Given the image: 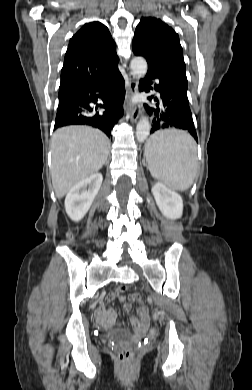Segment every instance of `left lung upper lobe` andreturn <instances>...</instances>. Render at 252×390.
Wrapping results in <instances>:
<instances>
[{
    "label": "left lung upper lobe",
    "mask_w": 252,
    "mask_h": 390,
    "mask_svg": "<svg viewBox=\"0 0 252 390\" xmlns=\"http://www.w3.org/2000/svg\"><path fill=\"white\" fill-rule=\"evenodd\" d=\"M132 50L135 55L146 59L148 71L166 75L188 86L179 36L160 19H141L135 30Z\"/></svg>",
    "instance_id": "5c2ea615"
}]
</instances>
